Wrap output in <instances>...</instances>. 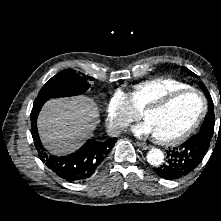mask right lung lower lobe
<instances>
[{"label": "right lung lower lobe", "instance_id": "1", "mask_svg": "<svg viewBox=\"0 0 221 221\" xmlns=\"http://www.w3.org/2000/svg\"><path fill=\"white\" fill-rule=\"evenodd\" d=\"M46 101H35L30 115L31 133L40 159L58 177L68 182L80 181L90 177L110 153L117 138H109L105 141L89 140L75 153L67 156L50 155L42 146L37 131V117Z\"/></svg>", "mask_w": 221, "mask_h": 221}]
</instances>
